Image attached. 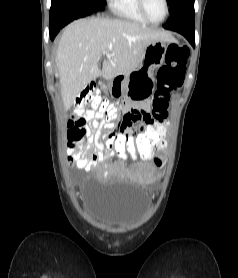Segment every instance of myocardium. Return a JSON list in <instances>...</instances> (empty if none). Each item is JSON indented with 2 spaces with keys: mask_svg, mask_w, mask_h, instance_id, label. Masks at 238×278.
<instances>
[{
  "mask_svg": "<svg viewBox=\"0 0 238 278\" xmlns=\"http://www.w3.org/2000/svg\"><path fill=\"white\" fill-rule=\"evenodd\" d=\"M137 1H138V7H139V10H140L141 14L144 16V18L149 23L160 24V23H162L163 21L166 20V18L168 17V15L170 13V6H169L168 0H163V2L165 4V14H164V17L161 20H159V21H155V20L151 19L150 16L148 15V13H147L146 6H145V0H137Z\"/></svg>",
  "mask_w": 238,
  "mask_h": 278,
  "instance_id": "obj_1",
  "label": "myocardium"
}]
</instances>
